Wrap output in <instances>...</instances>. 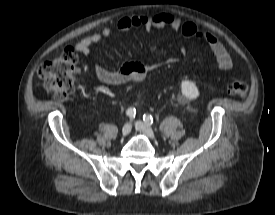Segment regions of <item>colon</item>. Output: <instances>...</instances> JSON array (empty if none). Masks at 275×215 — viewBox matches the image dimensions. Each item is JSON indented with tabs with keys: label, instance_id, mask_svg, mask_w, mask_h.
<instances>
[{
	"label": "colon",
	"instance_id": "colon-1",
	"mask_svg": "<svg viewBox=\"0 0 275 215\" xmlns=\"http://www.w3.org/2000/svg\"><path fill=\"white\" fill-rule=\"evenodd\" d=\"M78 70V54L73 48H66L59 57L44 62L39 70L45 89L58 100H65L76 89V73ZM227 92L243 97L249 88L245 82L234 81L227 85Z\"/></svg>",
	"mask_w": 275,
	"mask_h": 215
}]
</instances>
